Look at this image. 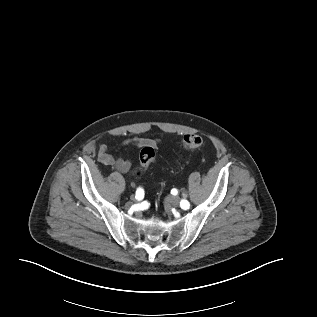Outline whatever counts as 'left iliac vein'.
<instances>
[{
	"instance_id": "1",
	"label": "left iliac vein",
	"mask_w": 317,
	"mask_h": 317,
	"mask_svg": "<svg viewBox=\"0 0 317 317\" xmlns=\"http://www.w3.org/2000/svg\"><path fill=\"white\" fill-rule=\"evenodd\" d=\"M168 203L174 207H178L180 204V198L177 196H169L167 199Z\"/></svg>"
}]
</instances>
